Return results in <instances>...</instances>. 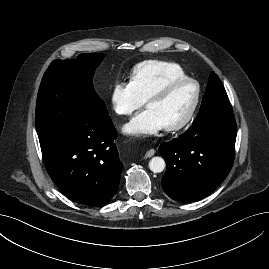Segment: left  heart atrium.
Here are the masks:
<instances>
[{
  "mask_svg": "<svg viewBox=\"0 0 269 269\" xmlns=\"http://www.w3.org/2000/svg\"><path fill=\"white\" fill-rule=\"evenodd\" d=\"M163 128L161 119L153 111L146 110L126 123L123 130L125 133L134 136H151L157 134Z\"/></svg>",
  "mask_w": 269,
  "mask_h": 269,
  "instance_id": "obj_1",
  "label": "left heart atrium"
}]
</instances>
